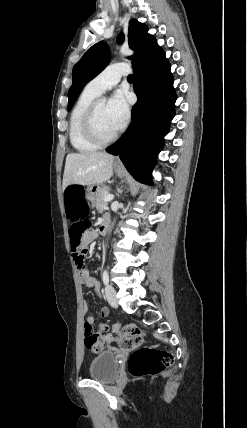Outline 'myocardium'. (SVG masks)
Wrapping results in <instances>:
<instances>
[{"label":"myocardium","instance_id":"obj_1","mask_svg":"<svg viewBox=\"0 0 247 428\" xmlns=\"http://www.w3.org/2000/svg\"><path fill=\"white\" fill-rule=\"evenodd\" d=\"M100 102L101 100H96L90 105L84 115L82 125L83 131L90 141L97 144L98 146H106L116 140L119 132L116 130L110 137L107 138L101 137L97 132L95 127V115Z\"/></svg>","mask_w":247,"mask_h":428}]
</instances>
